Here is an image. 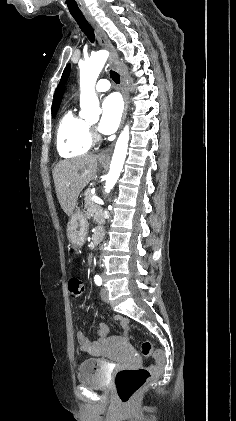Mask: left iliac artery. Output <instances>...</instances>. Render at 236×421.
Here are the masks:
<instances>
[{"mask_svg": "<svg viewBox=\"0 0 236 421\" xmlns=\"http://www.w3.org/2000/svg\"><path fill=\"white\" fill-rule=\"evenodd\" d=\"M94 281H95V284L96 285L101 286V284H102V278L99 275H95Z\"/></svg>", "mask_w": 236, "mask_h": 421, "instance_id": "44dca946", "label": "left iliac artery"}]
</instances>
